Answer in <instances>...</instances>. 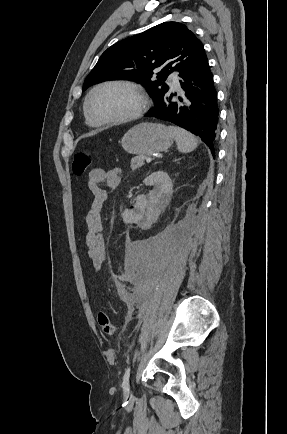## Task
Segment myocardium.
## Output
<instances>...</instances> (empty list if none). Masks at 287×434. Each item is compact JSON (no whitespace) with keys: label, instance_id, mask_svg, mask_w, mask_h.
Listing matches in <instances>:
<instances>
[{"label":"myocardium","instance_id":"1","mask_svg":"<svg viewBox=\"0 0 287 434\" xmlns=\"http://www.w3.org/2000/svg\"><path fill=\"white\" fill-rule=\"evenodd\" d=\"M111 85H116V86H122L125 88H128L130 90H132L138 97L140 100L139 106L137 107V109L122 118H118V119H106V120H100L97 119L93 116V114L90 111V101L91 98L93 96V94L106 86H111ZM149 104H150V100L148 97L147 92L145 91V89L139 85L136 82L133 81H128V80H120V79H111V80H106L103 82H100L98 84H96L87 94L86 98H85V102H84V112L86 117L94 124V125H98V126H102V125H120V124H124V123H128L131 121H134L138 118H140L141 116H143L146 111L149 108Z\"/></svg>","mask_w":287,"mask_h":434}]
</instances>
